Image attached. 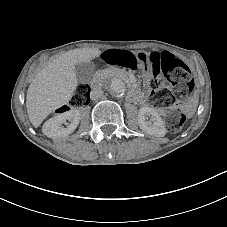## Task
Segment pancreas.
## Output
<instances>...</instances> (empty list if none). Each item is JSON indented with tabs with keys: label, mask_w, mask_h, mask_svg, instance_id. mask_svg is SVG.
<instances>
[{
	"label": "pancreas",
	"mask_w": 227,
	"mask_h": 227,
	"mask_svg": "<svg viewBox=\"0 0 227 227\" xmlns=\"http://www.w3.org/2000/svg\"><path fill=\"white\" fill-rule=\"evenodd\" d=\"M101 73H102V74H108L107 71H102ZM115 76L121 77V73H115Z\"/></svg>",
	"instance_id": "obj_1"
}]
</instances>
